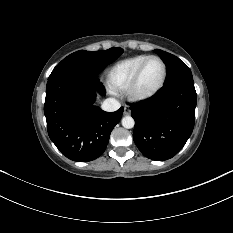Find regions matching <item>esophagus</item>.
<instances>
[{
    "label": "esophagus",
    "instance_id": "34e87169",
    "mask_svg": "<svg viewBox=\"0 0 233 233\" xmlns=\"http://www.w3.org/2000/svg\"><path fill=\"white\" fill-rule=\"evenodd\" d=\"M131 113V109L128 106H124V115H129Z\"/></svg>",
    "mask_w": 233,
    "mask_h": 233
}]
</instances>
